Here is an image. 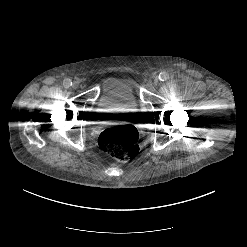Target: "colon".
Segmentation results:
<instances>
[{
  "label": "colon",
  "mask_w": 247,
  "mask_h": 247,
  "mask_svg": "<svg viewBox=\"0 0 247 247\" xmlns=\"http://www.w3.org/2000/svg\"><path fill=\"white\" fill-rule=\"evenodd\" d=\"M100 148L118 161L125 162L137 155L139 137L133 126L105 129L98 138Z\"/></svg>",
  "instance_id": "colon-1"
}]
</instances>
